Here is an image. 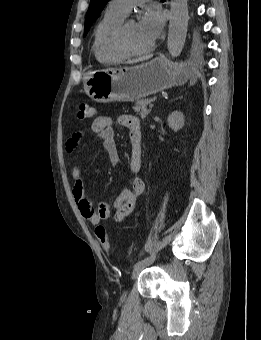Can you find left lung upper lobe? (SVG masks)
I'll return each mask as SVG.
<instances>
[{"instance_id": "left-lung-upper-lobe-1", "label": "left lung upper lobe", "mask_w": 261, "mask_h": 340, "mask_svg": "<svg viewBox=\"0 0 261 340\" xmlns=\"http://www.w3.org/2000/svg\"><path fill=\"white\" fill-rule=\"evenodd\" d=\"M109 0H91L90 6L88 9L86 21H85V29H84V37L88 33L91 25L94 23V21L98 18L101 11L105 7V5L108 3Z\"/></svg>"}]
</instances>
